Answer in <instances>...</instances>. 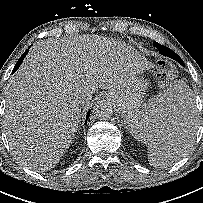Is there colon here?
<instances>
[{
    "mask_svg": "<svg viewBox=\"0 0 203 203\" xmlns=\"http://www.w3.org/2000/svg\"><path fill=\"white\" fill-rule=\"evenodd\" d=\"M175 76V68L168 61L158 62L156 77L161 87H164Z\"/></svg>",
    "mask_w": 203,
    "mask_h": 203,
    "instance_id": "5ec220e1",
    "label": "colon"
}]
</instances>
